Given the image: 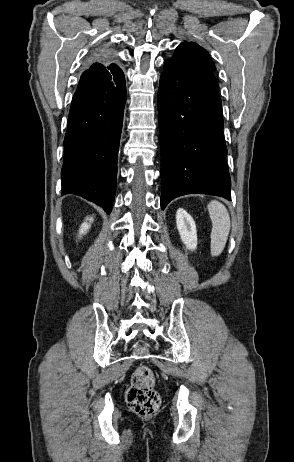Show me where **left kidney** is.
<instances>
[{
    "label": "left kidney",
    "mask_w": 294,
    "mask_h": 462,
    "mask_svg": "<svg viewBox=\"0 0 294 462\" xmlns=\"http://www.w3.org/2000/svg\"><path fill=\"white\" fill-rule=\"evenodd\" d=\"M176 224L186 248L195 250L197 247V232L193 218L184 209L179 208L176 213Z\"/></svg>",
    "instance_id": "obj_1"
}]
</instances>
